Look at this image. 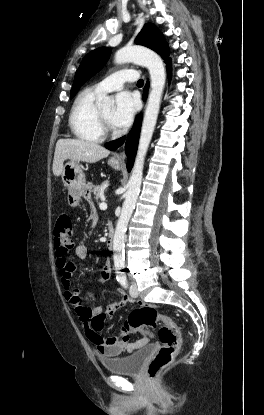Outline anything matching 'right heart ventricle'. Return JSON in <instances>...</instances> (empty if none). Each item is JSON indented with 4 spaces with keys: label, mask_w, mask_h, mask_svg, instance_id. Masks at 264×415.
<instances>
[{
    "label": "right heart ventricle",
    "mask_w": 264,
    "mask_h": 415,
    "mask_svg": "<svg viewBox=\"0 0 264 415\" xmlns=\"http://www.w3.org/2000/svg\"><path fill=\"white\" fill-rule=\"evenodd\" d=\"M94 90H84L75 99L70 115L69 127L73 136L86 142H101L103 136L99 131L96 118V99Z\"/></svg>",
    "instance_id": "obj_1"
}]
</instances>
